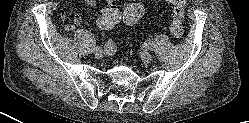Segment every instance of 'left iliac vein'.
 <instances>
[{"label": "left iliac vein", "instance_id": "obj_1", "mask_svg": "<svg viewBox=\"0 0 249 123\" xmlns=\"http://www.w3.org/2000/svg\"><path fill=\"white\" fill-rule=\"evenodd\" d=\"M141 59H142L145 63H150L151 60H152V57H151V55H150L148 52L143 51V52L141 53Z\"/></svg>", "mask_w": 249, "mask_h": 123}]
</instances>
